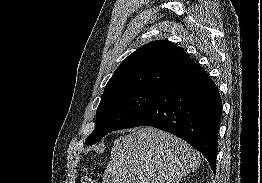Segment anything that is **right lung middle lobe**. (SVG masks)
Here are the masks:
<instances>
[{
    "label": "right lung middle lobe",
    "mask_w": 262,
    "mask_h": 183,
    "mask_svg": "<svg viewBox=\"0 0 262 183\" xmlns=\"http://www.w3.org/2000/svg\"><path fill=\"white\" fill-rule=\"evenodd\" d=\"M157 91L135 89L103 95L97 108L95 129L85 143L92 145L106 134L123 129L148 105Z\"/></svg>",
    "instance_id": "obj_1"
}]
</instances>
